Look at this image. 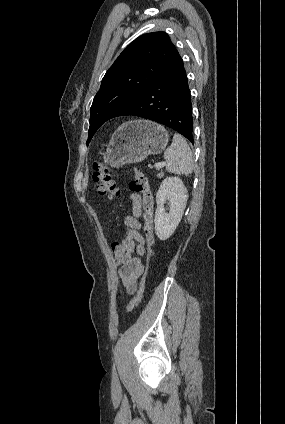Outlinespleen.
Listing matches in <instances>:
<instances>
[{
    "mask_svg": "<svg viewBox=\"0 0 285 424\" xmlns=\"http://www.w3.org/2000/svg\"><path fill=\"white\" fill-rule=\"evenodd\" d=\"M166 170L174 174L189 176L194 168L191 149L179 134L173 136L172 144L164 152Z\"/></svg>",
    "mask_w": 285,
    "mask_h": 424,
    "instance_id": "1",
    "label": "spleen"
}]
</instances>
